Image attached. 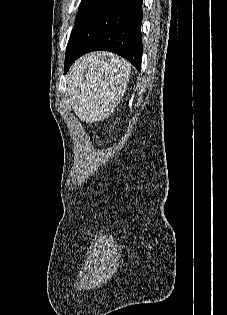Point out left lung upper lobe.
Masks as SVG:
<instances>
[{
	"mask_svg": "<svg viewBox=\"0 0 227 315\" xmlns=\"http://www.w3.org/2000/svg\"><path fill=\"white\" fill-rule=\"evenodd\" d=\"M98 0H82L79 6L75 24L85 16V14L93 7Z\"/></svg>",
	"mask_w": 227,
	"mask_h": 315,
	"instance_id": "5c2ea615",
	"label": "left lung upper lobe"
}]
</instances>
